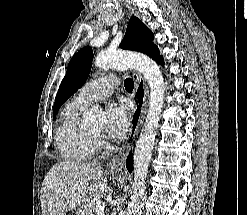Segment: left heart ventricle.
<instances>
[{"label": "left heart ventricle", "mask_w": 247, "mask_h": 215, "mask_svg": "<svg viewBox=\"0 0 247 215\" xmlns=\"http://www.w3.org/2000/svg\"><path fill=\"white\" fill-rule=\"evenodd\" d=\"M101 130H102L101 127H97V128H95V129L91 130V133L100 134Z\"/></svg>", "instance_id": "b2bd125f"}]
</instances>
